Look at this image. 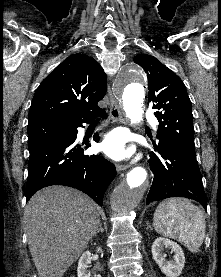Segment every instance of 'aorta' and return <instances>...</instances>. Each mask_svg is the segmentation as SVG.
<instances>
[{"instance_id": "1", "label": "aorta", "mask_w": 221, "mask_h": 277, "mask_svg": "<svg viewBox=\"0 0 221 277\" xmlns=\"http://www.w3.org/2000/svg\"><path fill=\"white\" fill-rule=\"evenodd\" d=\"M145 74L135 64L123 66L118 74L116 91L122 98L123 109L131 124L142 121L145 98ZM148 187L147 171L144 167L132 168L121 185L116 187L111 197V208L119 216L133 211Z\"/></svg>"}]
</instances>
